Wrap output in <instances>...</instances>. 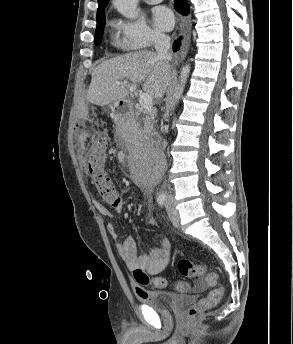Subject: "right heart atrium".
<instances>
[{"label": "right heart atrium", "mask_w": 293, "mask_h": 344, "mask_svg": "<svg viewBox=\"0 0 293 344\" xmlns=\"http://www.w3.org/2000/svg\"><path fill=\"white\" fill-rule=\"evenodd\" d=\"M113 27L120 47L126 51L144 50L165 39L164 34L152 29L141 18H118L113 21Z\"/></svg>", "instance_id": "1"}]
</instances>
